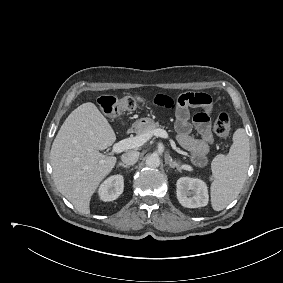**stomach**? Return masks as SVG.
<instances>
[{"instance_id": "obj_1", "label": "stomach", "mask_w": 283, "mask_h": 283, "mask_svg": "<svg viewBox=\"0 0 283 283\" xmlns=\"http://www.w3.org/2000/svg\"><path fill=\"white\" fill-rule=\"evenodd\" d=\"M153 122H154L153 119H151L149 117L140 118L133 124L132 127L136 132L139 133V132H142L143 130H145Z\"/></svg>"}]
</instances>
